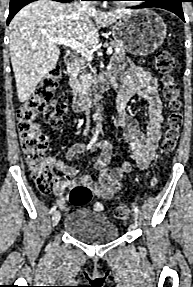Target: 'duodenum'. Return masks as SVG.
<instances>
[{
    "label": "duodenum",
    "mask_w": 193,
    "mask_h": 287,
    "mask_svg": "<svg viewBox=\"0 0 193 287\" xmlns=\"http://www.w3.org/2000/svg\"><path fill=\"white\" fill-rule=\"evenodd\" d=\"M77 58L73 51H67L65 54V64L68 70V83L71 87H74V79L72 76V70L76 64ZM111 84L110 79H103L98 89H95L91 93L81 91L77 93V97L72 104V108L75 112H80L89 107L95 102L109 87Z\"/></svg>",
    "instance_id": "1"
}]
</instances>
